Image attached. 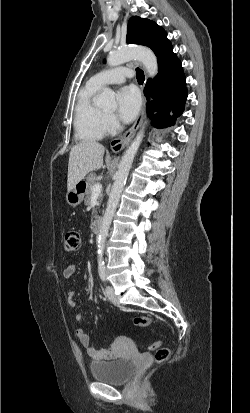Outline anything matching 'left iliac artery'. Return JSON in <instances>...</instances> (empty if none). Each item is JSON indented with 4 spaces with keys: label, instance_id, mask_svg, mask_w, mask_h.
Listing matches in <instances>:
<instances>
[{
    "label": "left iliac artery",
    "instance_id": "1",
    "mask_svg": "<svg viewBox=\"0 0 250 413\" xmlns=\"http://www.w3.org/2000/svg\"><path fill=\"white\" fill-rule=\"evenodd\" d=\"M99 275H100V278L103 281H105L106 275H105V265H104V263L99 264Z\"/></svg>",
    "mask_w": 250,
    "mask_h": 413
}]
</instances>
